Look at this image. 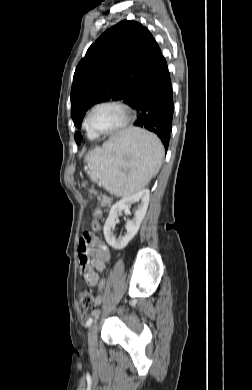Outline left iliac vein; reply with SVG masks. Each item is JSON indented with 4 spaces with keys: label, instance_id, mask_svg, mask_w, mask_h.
Listing matches in <instances>:
<instances>
[{
    "label": "left iliac vein",
    "instance_id": "4c4485c4",
    "mask_svg": "<svg viewBox=\"0 0 252 390\" xmlns=\"http://www.w3.org/2000/svg\"><path fill=\"white\" fill-rule=\"evenodd\" d=\"M88 348L93 353L97 349V325L93 324L88 330Z\"/></svg>",
    "mask_w": 252,
    "mask_h": 390
}]
</instances>
